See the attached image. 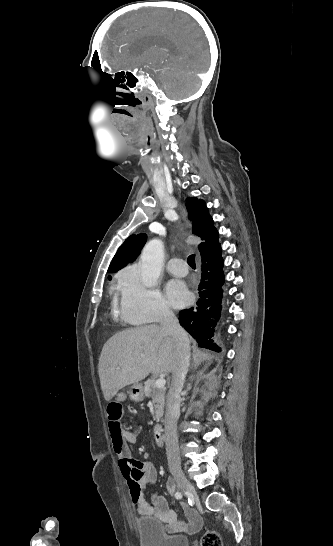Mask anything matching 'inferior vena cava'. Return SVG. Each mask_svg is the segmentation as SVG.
Here are the masks:
<instances>
[{
	"label": "inferior vena cava",
	"instance_id": "obj_1",
	"mask_svg": "<svg viewBox=\"0 0 333 546\" xmlns=\"http://www.w3.org/2000/svg\"><path fill=\"white\" fill-rule=\"evenodd\" d=\"M161 331L170 335L175 342L177 365L172 373V380L167 395L165 415L166 454L170 469L180 467L177 437V420L180 416V393L190 366V343L188 335L180 326L174 313L165 309L160 319Z\"/></svg>",
	"mask_w": 333,
	"mask_h": 546
}]
</instances>
